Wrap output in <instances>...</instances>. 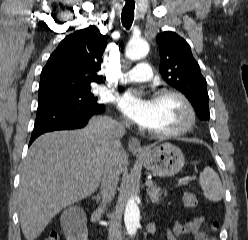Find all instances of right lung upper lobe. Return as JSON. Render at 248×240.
Segmentation results:
<instances>
[{
	"label": "right lung upper lobe",
	"instance_id": "cb5924a9",
	"mask_svg": "<svg viewBox=\"0 0 248 240\" xmlns=\"http://www.w3.org/2000/svg\"><path fill=\"white\" fill-rule=\"evenodd\" d=\"M106 45V36L94 25L68 35L42 70L38 98L79 93L91 82L100 83L96 72Z\"/></svg>",
	"mask_w": 248,
	"mask_h": 240
}]
</instances>
